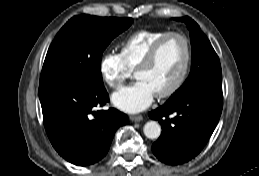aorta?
<instances>
[{"mask_svg": "<svg viewBox=\"0 0 259 176\" xmlns=\"http://www.w3.org/2000/svg\"><path fill=\"white\" fill-rule=\"evenodd\" d=\"M144 134L149 139H157L161 135V126L156 121H148L143 128Z\"/></svg>", "mask_w": 259, "mask_h": 176, "instance_id": "762f6f07", "label": "aorta"}]
</instances>
